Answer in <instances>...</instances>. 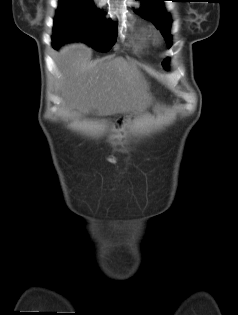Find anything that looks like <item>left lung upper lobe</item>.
I'll list each match as a JSON object with an SVG mask.
<instances>
[{"label":"left lung upper lobe","mask_w":238,"mask_h":315,"mask_svg":"<svg viewBox=\"0 0 238 315\" xmlns=\"http://www.w3.org/2000/svg\"><path fill=\"white\" fill-rule=\"evenodd\" d=\"M143 2L142 9L136 10L137 14L141 15L145 19H151L152 23L160 29L161 33L165 37L167 43L171 41V36L168 34L171 19L170 15L165 12L163 8V1L166 0H135ZM169 59L163 61V66L168 69Z\"/></svg>","instance_id":"left-lung-upper-lobe-1"}]
</instances>
